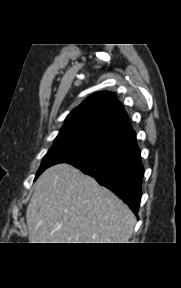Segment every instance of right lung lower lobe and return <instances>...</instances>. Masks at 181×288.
<instances>
[{
  "label": "right lung lower lobe",
  "mask_w": 181,
  "mask_h": 288,
  "mask_svg": "<svg viewBox=\"0 0 181 288\" xmlns=\"http://www.w3.org/2000/svg\"><path fill=\"white\" fill-rule=\"evenodd\" d=\"M69 164L94 177L100 185L113 191L138 214L144 175L138 146L118 154L76 160Z\"/></svg>",
  "instance_id": "obj_1"
}]
</instances>
